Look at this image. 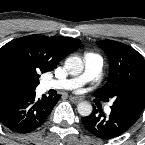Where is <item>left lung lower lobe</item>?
Returning a JSON list of instances; mask_svg holds the SVG:
<instances>
[{"mask_svg": "<svg viewBox=\"0 0 145 145\" xmlns=\"http://www.w3.org/2000/svg\"><path fill=\"white\" fill-rule=\"evenodd\" d=\"M82 123L89 132L102 139L119 136L132 126L130 122L114 111L111 110V113L106 116L100 108L96 109L95 106H93L90 116L82 118Z\"/></svg>", "mask_w": 145, "mask_h": 145, "instance_id": "0a47b994", "label": "left lung lower lobe"}]
</instances>
